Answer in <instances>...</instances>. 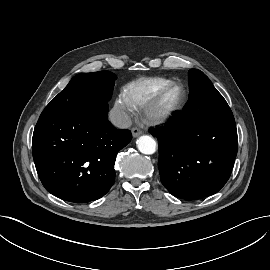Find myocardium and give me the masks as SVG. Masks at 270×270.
<instances>
[{"label": "myocardium", "mask_w": 270, "mask_h": 270, "mask_svg": "<svg viewBox=\"0 0 270 270\" xmlns=\"http://www.w3.org/2000/svg\"><path fill=\"white\" fill-rule=\"evenodd\" d=\"M172 90H178L179 97L169 102L167 96ZM187 99L186 88L178 82H170L142 108L143 117L151 124L165 123L184 108Z\"/></svg>", "instance_id": "f54148a6"}]
</instances>
